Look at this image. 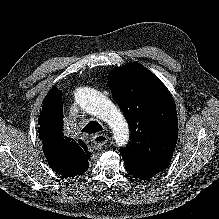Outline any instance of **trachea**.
<instances>
[{
    "instance_id": "1",
    "label": "trachea",
    "mask_w": 219,
    "mask_h": 219,
    "mask_svg": "<svg viewBox=\"0 0 219 219\" xmlns=\"http://www.w3.org/2000/svg\"><path fill=\"white\" fill-rule=\"evenodd\" d=\"M103 131L102 126L96 121H90L83 129L85 133H97Z\"/></svg>"
}]
</instances>
